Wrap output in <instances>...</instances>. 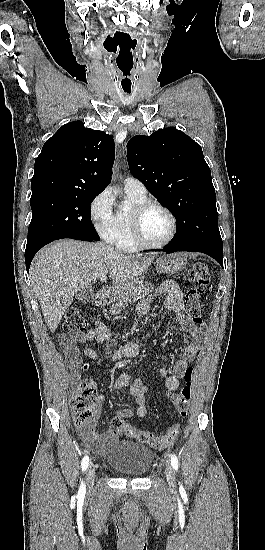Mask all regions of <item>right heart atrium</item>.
I'll return each mask as SVG.
<instances>
[{"label":"right heart atrium","instance_id":"obj_1","mask_svg":"<svg viewBox=\"0 0 265 550\" xmlns=\"http://www.w3.org/2000/svg\"><path fill=\"white\" fill-rule=\"evenodd\" d=\"M89 215L95 231L108 241L114 228L115 219L113 198L108 189L101 191L93 198L89 208Z\"/></svg>","mask_w":265,"mask_h":550}]
</instances>
